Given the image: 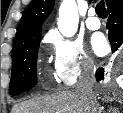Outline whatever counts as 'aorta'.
I'll return each mask as SVG.
<instances>
[{
	"label": "aorta",
	"instance_id": "762f6f07",
	"mask_svg": "<svg viewBox=\"0 0 123 113\" xmlns=\"http://www.w3.org/2000/svg\"><path fill=\"white\" fill-rule=\"evenodd\" d=\"M78 9L75 0H63L59 8L58 29L65 37H72L78 29Z\"/></svg>",
	"mask_w": 123,
	"mask_h": 113
}]
</instances>
